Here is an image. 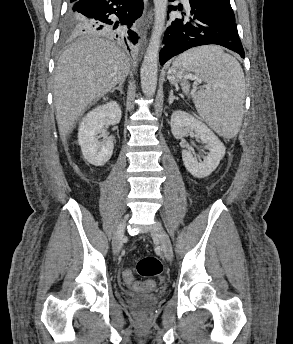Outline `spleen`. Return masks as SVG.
<instances>
[{"label": "spleen", "mask_w": 293, "mask_h": 344, "mask_svg": "<svg viewBox=\"0 0 293 344\" xmlns=\"http://www.w3.org/2000/svg\"><path fill=\"white\" fill-rule=\"evenodd\" d=\"M208 84L193 96L201 118L219 135L231 138L242 124L245 79L238 61L216 46L191 49L175 59ZM189 84L182 90L189 93Z\"/></svg>", "instance_id": "spleen-1"}]
</instances>
